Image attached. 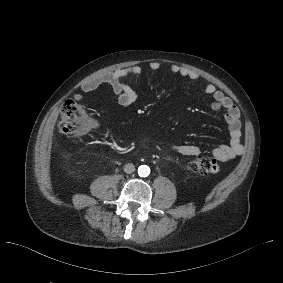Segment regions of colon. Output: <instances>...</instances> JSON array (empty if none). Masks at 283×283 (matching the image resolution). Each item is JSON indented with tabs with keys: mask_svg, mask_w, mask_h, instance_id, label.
<instances>
[{
	"mask_svg": "<svg viewBox=\"0 0 283 283\" xmlns=\"http://www.w3.org/2000/svg\"><path fill=\"white\" fill-rule=\"evenodd\" d=\"M91 127V121L80 104L67 100L62 107L59 129L62 133L74 138L86 135ZM192 172L201 175H213L220 171V165L214 158L198 156L190 161Z\"/></svg>",
	"mask_w": 283,
	"mask_h": 283,
	"instance_id": "1",
	"label": "colon"
}]
</instances>
